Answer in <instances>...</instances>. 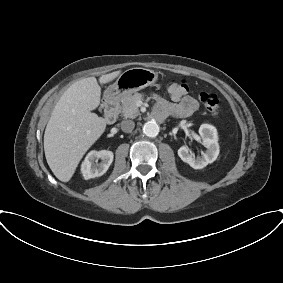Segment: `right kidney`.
I'll return each mask as SVG.
<instances>
[{
	"label": "right kidney",
	"instance_id": "ca27d5eb",
	"mask_svg": "<svg viewBox=\"0 0 283 283\" xmlns=\"http://www.w3.org/2000/svg\"><path fill=\"white\" fill-rule=\"evenodd\" d=\"M113 153L108 150L91 151L81 165V172L85 179L102 176L113 161ZM101 160L98 163V160Z\"/></svg>",
	"mask_w": 283,
	"mask_h": 283
}]
</instances>
